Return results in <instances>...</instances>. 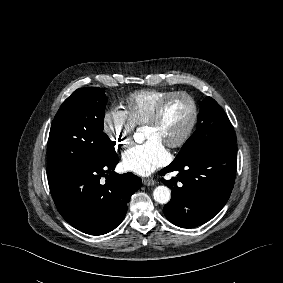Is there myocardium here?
Here are the masks:
<instances>
[{
    "label": "myocardium",
    "instance_id": "f54148a6",
    "mask_svg": "<svg viewBox=\"0 0 283 283\" xmlns=\"http://www.w3.org/2000/svg\"><path fill=\"white\" fill-rule=\"evenodd\" d=\"M184 98L186 99L190 106H191V118L190 121L188 123V126L186 127L185 131L183 132V134L181 135V137L173 142H168L166 143V146L170 147V148H178L183 146L184 144L187 143V141L190 139V137L192 136L195 127L198 123L199 120V107L198 104L195 100V98L185 92V91H175V92H171L170 94H168L166 97H164L161 101H159V103L156 105V107L154 108L152 114L150 115V117L148 118V120L145 122V125H157L159 123V121L162 118V115L164 113L165 108L167 107V105L175 98Z\"/></svg>",
    "mask_w": 283,
    "mask_h": 283
}]
</instances>
